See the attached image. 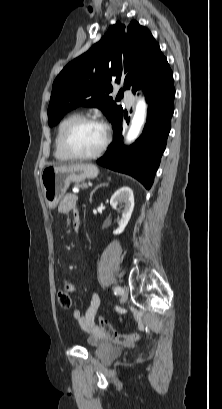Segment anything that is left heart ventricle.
Listing matches in <instances>:
<instances>
[{
	"label": "left heart ventricle",
	"instance_id": "obj_1",
	"mask_svg": "<svg viewBox=\"0 0 222 409\" xmlns=\"http://www.w3.org/2000/svg\"><path fill=\"white\" fill-rule=\"evenodd\" d=\"M104 137L105 131L101 125L86 123L72 133L69 146L77 154H92L101 147Z\"/></svg>",
	"mask_w": 222,
	"mask_h": 409
}]
</instances>
